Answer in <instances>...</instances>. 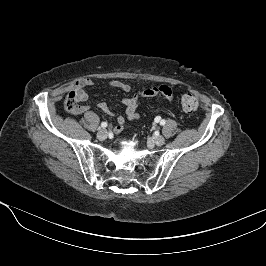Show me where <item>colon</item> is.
<instances>
[{"instance_id": "1", "label": "colon", "mask_w": 266, "mask_h": 266, "mask_svg": "<svg viewBox=\"0 0 266 266\" xmlns=\"http://www.w3.org/2000/svg\"><path fill=\"white\" fill-rule=\"evenodd\" d=\"M180 103L184 111L193 113L198 109L199 103L192 94H183L180 97ZM78 105V96L75 91H71L65 99V108L72 112ZM126 126H124V129Z\"/></svg>"}]
</instances>
